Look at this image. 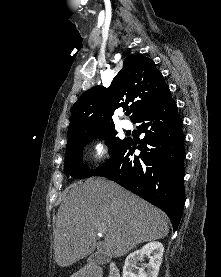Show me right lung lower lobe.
Segmentation results:
<instances>
[{
    "label": "right lung lower lobe",
    "instance_id": "right-lung-lower-lobe-1",
    "mask_svg": "<svg viewBox=\"0 0 221 277\" xmlns=\"http://www.w3.org/2000/svg\"><path fill=\"white\" fill-rule=\"evenodd\" d=\"M133 122L140 123L138 129L145 133L137 147L140 155H134L136 143L125 139L92 175L109 178L162 209L175 231L184 207L186 154L182 120L170 90L145 107Z\"/></svg>",
    "mask_w": 221,
    "mask_h": 277
}]
</instances>
